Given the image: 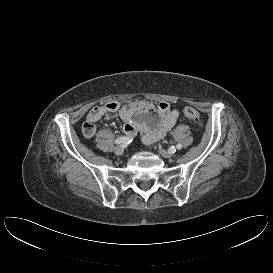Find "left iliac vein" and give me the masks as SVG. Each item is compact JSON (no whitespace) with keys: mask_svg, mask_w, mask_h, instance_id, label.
<instances>
[{"mask_svg":"<svg viewBox=\"0 0 273 273\" xmlns=\"http://www.w3.org/2000/svg\"><path fill=\"white\" fill-rule=\"evenodd\" d=\"M159 154L161 156H163L164 158H171L172 157V152L166 151V150H163V149L159 150Z\"/></svg>","mask_w":273,"mask_h":273,"instance_id":"left-iliac-vein-1","label":"left iliac vein"}]
</instances>
